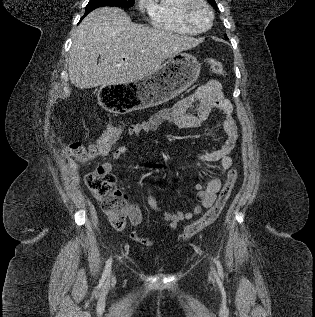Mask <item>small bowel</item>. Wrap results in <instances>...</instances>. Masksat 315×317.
<instances>
[{"label":"small bowel","instance_id":"small-bowel-1","mask_svg":"<svg viewBox=\"0 0 315 317\" xmlns=\"http://www.w3.org/2000/svg\"><path fill=\"white\" fill-rule=\"evenodd\" d=\"M219 110L223 114V128L226 134L224 144L217 150L202 153L198 159L202 162H211L219 164L221 171H227L232 165L230 154L234 149L238 131L233 118V109L230 102L224 98L221 92V85L218 81L211 80L202 85L193 94L179 100L170 108L163 109L148 120L129 125L127 132L129 136H137L141 133L154 132L164 122H172L178 128L190 129L199 127L206 121L212 110ZM130 151L128 145L117 147L112 155L113 160H119ZM102 167L109 173L113 169V164L109 161L104 162ZM221 187L219 175H214L206 185L197 183L194 189L197 191L198 205L187 212H164V220L168 223V229L174 231L182 220L192 219L199 214L203 208H209L213 205L216 194ZM147 203L151 209L156 212H162L156 198L153 196L152 188L147 190ZM128 216L133 227H137L142 222V212L139 206L131 201L128 208ZM131 240L146 247H152L156 241L153 238L141 236L137 231L130 234Z\"/></svg>","mask_w":315,"mask_h":317}]
</instances>
